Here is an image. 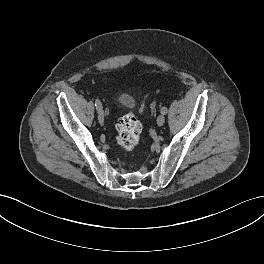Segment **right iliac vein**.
Returning <instances> with one entry per match:
<instances>
[{
    "instance_id": "right-iliac-vein-1",
    "label": "right iliac vein",
    "mask_w": 264,
    "mask_h": 264,
    "mask_svg": "<svg viewBox=\"0 0 264 264\" xmlns=\"http://www.w3.org/2000/svg\"><path fill=\"white\" fill-rule=\"evenodd\" d=\"M98 121L100 124L104 123V114L102 110L98 112Z\"/></svg>"
}]
</instances>
